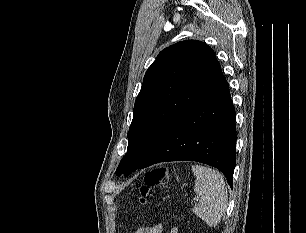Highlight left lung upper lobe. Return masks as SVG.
Returning a JSON list of instances; mask_svg holds the SVG:
<instances>
[{
    "label": "left lung upper lobe",
    "mask_w": 306,
    "mask_h": 233,
    "mask_svg": "<svg viewBox=\"0 0 306 233\" xmlns=\"http://www.w3.org/2000/svg\"><path fill=\"white\" fill-rule=\"evenodd\" d=\"M221 73L213 50L201 41H181L162 50L144 76L127 153L116 175L138 169Z\"/></svg>",
    "instance_id": "1"
}]
</instances>
